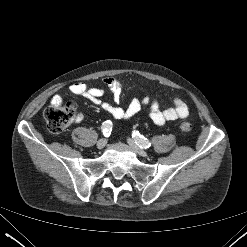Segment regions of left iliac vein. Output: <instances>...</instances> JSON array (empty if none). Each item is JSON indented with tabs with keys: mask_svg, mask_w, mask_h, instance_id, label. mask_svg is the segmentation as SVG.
I'll use <instances>...</instances> for the list:
<instances>
[{
	"mask_svg": "<svg viewBox=\"0 0 247 247\" xmlns=\"http://www.w3.org/2000/svg\"><path fill=\"white\" fill-rule=\"evenodd\" d=\"M127 141H128L129 146H130V147H131L138 155H140V156H142V157H146V156H147L146 151L143 150L142 148H140V147L136 144V142H135L134 140H132V139L129 138Z\"/></svg>",
	"mask_w": 247,
	"mask_h": 247,
	"instance_id": "1",
	"label": "left iliac vein"
}]
</instances>
